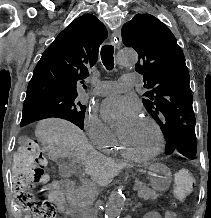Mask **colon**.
Segmentation results:
<instances>
[{
    "label": "colon",
    "mask_w": 211,
    "mask_h": 218,
    "mask_svg": "<svg viewBox=\"0 0 211 218\" xmlns=\"http://www.w3.org/2000/svg\"><path fill=\"white\" fill-rule=\"evenodd\" d=\"M12 176L18 199L27 213L26 218H56L54 205L44 194L32 192L38 183H45V159L34 139L27 141L15 153ZM174 194L179 201L185 200L193 191L195 179L187 169L175 173Z\"/></svg>",
    "instance_id": "1"
}]
</instances>
